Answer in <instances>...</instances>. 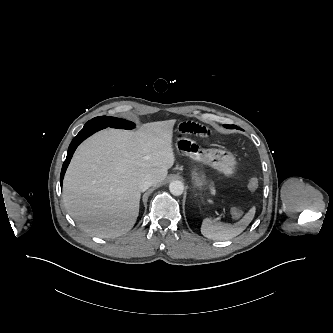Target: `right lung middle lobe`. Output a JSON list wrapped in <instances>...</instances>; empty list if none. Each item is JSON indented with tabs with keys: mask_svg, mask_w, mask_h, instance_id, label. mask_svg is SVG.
<instances>
[{
	"mask_svg": "<svg viewBox=\"0 0 333 333\" xmlns=\"http://www.w3.org/2000/svg\"><path fill=\"white\" fill-rule=\"evenodd\" d=\"M85 126H104V127H113V128H125L132 129L134 128V123L130 121H126L123 119L108 117V116H100L95 117L88 121Z\"/></svg>",
	"mask_w": 333,
	"mask_h": 333,
	"instance_id": "dd1d6c3e",
	"label": "right lung middle lobe"
}]
</instances>
